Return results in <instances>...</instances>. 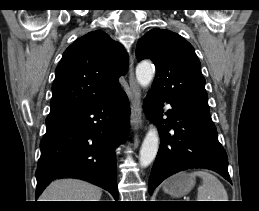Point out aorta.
<instances>
[{
	"mask_svg": "<svg viewBox=\"0 0 259 211\" xmlns=\"http://www.w3.org/2000/svg\"><path fill=\"white\" fill-rule=\"evenodd\" d=\"M155 67L149 62H141L136 67V79L142 87H147L153 80ZM159 148L157 128L150 126L140 149L139 162L142 167L149 166L155 159Z\"/></svg>",
	"mask_w": 259,
	"mask_h": 211,
	"instance_id": "aorta-1",
	"label": "aorta"
}]
</instances>
